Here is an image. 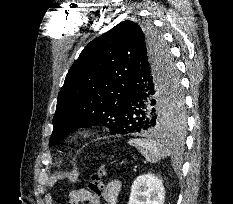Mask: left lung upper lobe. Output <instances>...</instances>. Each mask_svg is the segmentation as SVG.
I'll use <instances>...</instances> for the list:
<instances>
[{
    "mask_svg": "<svg viewBox=\"0 0 233 204\" xmlns=\"http://www.w3.org/2000/svg\"><path fill=\"white\" fill-rule=\"evenodd\" d=\"M140 49L149 50L152 55L164 53L167 72L175 71L162 38L153 28L132 21L119 23L84 48L58 94L50 147L69 133L96 124L108 127L111 134H122L117 124L118 111ZM157 115L161 130L184 126L180 82L174 89L169 87L159 102Z\"/></svg>",
    "mask_w": 233,
    "mask_h": 204,
    "instance_id": "5c2ea615",
    "label": "left lung upper lobe"
}]
</instances>
